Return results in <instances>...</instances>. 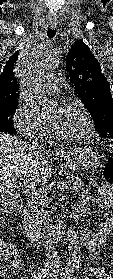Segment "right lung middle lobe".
I'll return each instance as SVG.
<instances>
[{
	"label": "right lung middle lobe",
	"mask_w": 113,
	"mask_h": 279,
	"mask_svg": "<svg viewBox=\"0 0 113 279\" xmlns=\"http://www.w3.org/2000/svg\"><path fill=\"white\" fill-rule=\"evenodd\" d=\"M16 106L6 107L0 109V131L15 135L17 132L12 121Z\"/></svg>",
	"instance_id": "1"
}]
</instances>
